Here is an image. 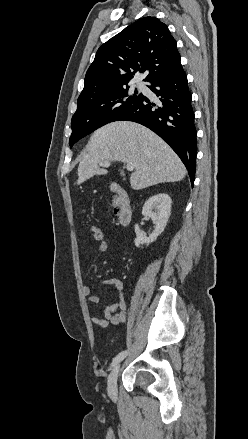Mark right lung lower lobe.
<instances>
[{
    "label": "right lung lower lobe",
    "instance_id": "98d812e1",
    "mask_svg": "<svg viewBox=\"0 0 248 439\" xmlns=\"http://www.w3.org/2000/svg\"><path fill=\"white\" fill-rule=\"evenodd\" d=\"M148 86L159 101L143 96L119 120L140 123L164 139L180 157L194 183L197 141L187 76L182 66L152 80Z\"/></svg>",
    "mask_w": 248,
    "mask_h": 439
}]
</instances>
